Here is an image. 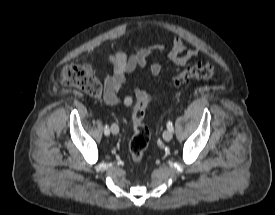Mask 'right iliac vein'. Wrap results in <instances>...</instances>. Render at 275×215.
I'll use <instances>...</instances> for the list:
<instances>
[{"mask_svg": "<svg viewBox=\"0 0 275 215\" xmlns=\"http://www.w3.org/2000/svg\"><path fill=\"white\" fill-rule=\"evenodd\" d=\"M111 132L114 134V135H117L119 133V127L116 123H113L111 125Z\"/></svg>", "mask_w": 275, "mask_h": 215, "instance_id": "1", "label": "right iliac vein"}]
</instances>
